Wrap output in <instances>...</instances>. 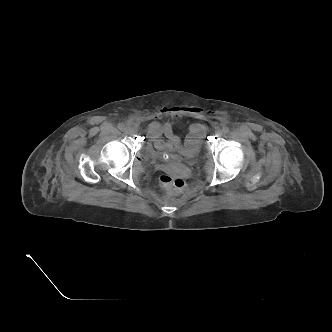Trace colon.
Wrapping results in <instances>:
<instances>
[{"instance_id":"obj_1","label":"colon","mask_w":332,"mask_h":332,"mask_svg":"<svg viewBox=\"0 0 332 332\" xmlns=\"http://www.w3.org/2000/svg\"><path fill=\"white\" fill-rule=\"evenodd\" d=\"M159 183L169 193H179L186 186V182L184 179L168 174L160 175Z\"/></svg>"}]
</instances>
